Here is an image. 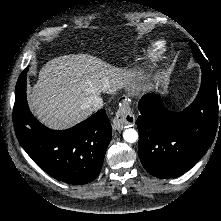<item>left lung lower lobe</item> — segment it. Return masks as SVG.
Wrapping results in <instances>:
<instances>
[{"label": "left lung lower lobe", "mask_w": 221, "mask_h": 221, "mask_svg": "<svg viewBox=\"0 0 221 221\" xmlns=\"http://www.w3.org/2000/svg\"><path fill=\"white\" fill-rule=\"evenodd\" d=\"M199 64L202 70L200 91L183 112L167 110L156 94L145 95L139 101L141 115L136 122L139 157L146 171L155 177L173 178L191 169L221 127V117H218L220 80L208 63Z\"/></svg>", "instance_id": "1"}]
</instances>
